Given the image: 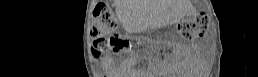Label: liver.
<instances>
[{
  "label": "liver",
  "instance_id": "1",
  "mask_svg": "<svg viewBox=\"0 0 258 77\" xmlns=\"http://www.w3.org/2000/svg\"><path fill=\"white\" fill-rule=\"evenodd\" d=\"M116 11L119 15L127 14L128 18H123L122 22L127 26L130 22L151 23L158 14L151 10L148 1L141 0H116Z\"/></svg>",
  "mask_w": 258,
  "mask_h": 77
}]
</instances>
